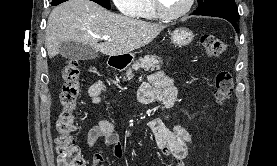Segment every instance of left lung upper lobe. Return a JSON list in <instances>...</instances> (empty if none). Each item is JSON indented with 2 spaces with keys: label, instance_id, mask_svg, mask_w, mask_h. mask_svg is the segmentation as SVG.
<instances>
[{
  "label": "left lung upper lobe",
  "instance_id": "obj_1",
  "mask_svg": "<svg viewBox=\"0 0 277 166\" xmlns=\"http://www.w3.org/2000/svg\"><path fill=\"white\" fill-rule=\"evenodd\" d=\"M199 7L193 15L215 16L239 20V13L234 0H198Z\"/></svg>",
  "mask_w": 277,
  "mask_h": 166
}]
</instances>
